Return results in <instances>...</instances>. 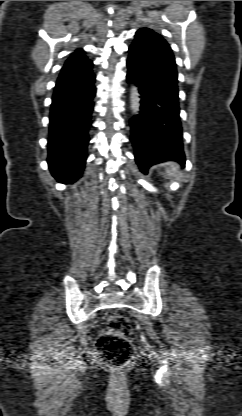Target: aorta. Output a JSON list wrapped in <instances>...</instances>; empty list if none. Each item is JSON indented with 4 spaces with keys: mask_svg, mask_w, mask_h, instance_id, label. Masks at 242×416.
<instances>
[{
    "mask_svg": "<svg viewBox=\"0 0 242 416\" xmlns=\"http://www.w3.org/2000/svg\"><path fill=\"white\" fill-rule=\"evenodd\" d=\"M130 103H131V110L134 114H137L140 110V99H139V92L136 86L131 87L130 91Z\"/></svg>",
    "mask_w": 242,
    "mask_h": 416,
    "instance_id": "aorta-1",
    "label": "aorta"
}]
</instances>
